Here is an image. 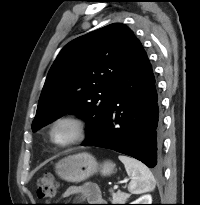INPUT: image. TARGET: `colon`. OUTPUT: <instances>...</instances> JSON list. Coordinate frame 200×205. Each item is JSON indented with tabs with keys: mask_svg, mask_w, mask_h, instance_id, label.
Masks as SVG:
<instances>
[{
	"mask_svg": "<svg viewBox=\"0 0 200 205\" xmlns=\"http://www.w3.org/2000/svg\"><path fill=\"white\" fill-rule=\"evenodd\" d=\"M58 191V184L51 174H45L37 181V194L41 199L53 198Z\"/></svg>",
	"mask_w": 200,
	"mask_h": 205,
	"instance_id": "obj_1",
	"label": "colon"
}]
</instances>
